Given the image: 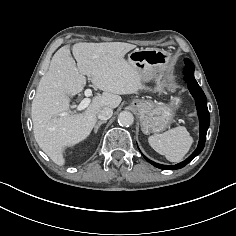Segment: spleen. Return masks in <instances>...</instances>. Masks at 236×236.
Listing matches in <instances>:
<instances>
[{"label": "spleen", "instance_id": "spleen-1", "mask_svg": "<svg viewBox=\"0 0 236 236\" xmlns=\"http://www.w3.org/2000/svg\"><path fill=\"white\" fill-rule=\"evenodd\" d=\"M150 146L170 162H180L189 152L193 138L184 126H178L162 134L149 136Z\"/></svg>", "mask_w": 236, "mask_h": 236}]
</instances>
